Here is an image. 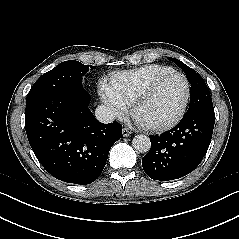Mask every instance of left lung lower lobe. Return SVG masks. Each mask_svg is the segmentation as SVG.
<instances>
[{"instance_id":"obj_1","label":"left lung lower lobe","mask_w":239,"mask_h":239,"mask_svg":"<svg viewBox=\"0 0 239 239\" xmlns=\"http://www.w3.org/2000/svg\"><path fill=\"white\" fill-rule=\"evenodd\" d=\"M214 123V108L199 109L185 114L170 131L151 136V149L142 159L145 173L169 181L192 172L208 150Z\"/></svg>"}]
</instances>
